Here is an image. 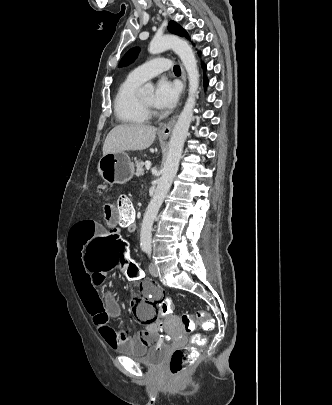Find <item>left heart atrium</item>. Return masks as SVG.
Instances as JSON below:
<instances>
[{
	"label": "left heart atrium",
	"instance_id": "1",
	"mask_svg": "<svg viewBox=\"0 0 332 405\" xmlns=\"http://www.w3.org/2000/svg\"><path fill=\"white\" fill-rule=\"evenodd\" d=\"M178 96V85L166 79H161L156 86L153 105L161 110L171 109L177 103Z\"/></svg>",
	"mask_w": 332,
	"mask_h": 405
}]
</instances>
